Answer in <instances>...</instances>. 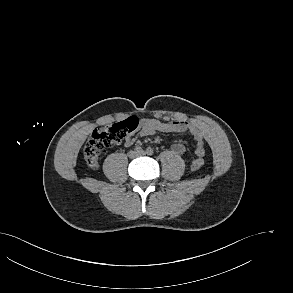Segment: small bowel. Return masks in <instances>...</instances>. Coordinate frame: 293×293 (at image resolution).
<instances>
[{
  "label": "small bowel",
  "instance_id": "obj_1",
  "mask_svg": "<svg viewBox=\"0 0 293 293\" xmlns=\"http://www.w3.org/2000/svg\"><path fill=\"white\" fill-rule=\"evenodd\" d=\"M156 132L171 133V134H180V133H190L194 140L196 141V150L195 154L197 156L193 162L198 159H203L205 155L204 147V138L203 134L197 128V126L188 121H172V122H163L154 118H143L140 120V128L136 134H129L124 139L125 146H131L136 141L137 136H151ZM173 151L177 154H183L185 151V146L183 143L178 142L173 145Z\"/></svg>",
  "mask_w": 293,
  "mask_h": 293
}]
</instances>
